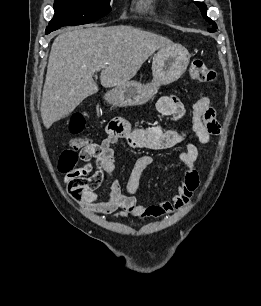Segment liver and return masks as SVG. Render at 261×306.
Listing matches in <instances>:
<instances>
[{"label":"liver","mask_w":261,"mask_h":306,"mask_svg":"<svg viewBox=\"0 0 261 306\" xmlns=\"http://www.w3.org/2000/svg\"><path fill=\"white\" fill-rule=\"evenodd\" d=\"M173 42L132 26L67 28L55 38L41 100L44 126L71 113L97 93L93 75L101 71L105 88L129 82L158 49Z\"/></svg>","instance_id":"6515ba94"}]
</instances>
